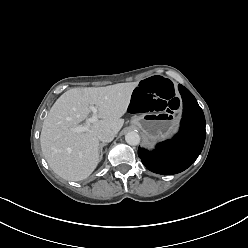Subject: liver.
I'll return each instance as SVG.
<instances>
[{
    "mask_svg": "<svg viewBox=\"0 0 248 248\" xmlns=\"http://www.w3.org/2000/svg\"><path fill=\"white\" fill-rule=\"evenodd\" d=\"M138 82L106 87L72 88L50 109L42 126L40 143L50 168L61 178L81 181L96 169L99 159L98 132L109 128L118 133L124 124L133 90ZM98 110L96 122L85 132L71 128L88 119L90 107Z\"/></svg>",
    "mask_w": 248,
    "mask_h": 248,
    "instance_id": "6515ba94",
    "label": "liver"
}]
</instances>
